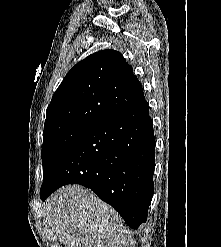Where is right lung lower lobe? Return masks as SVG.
Returning a JSON list of instances; mask_svg holds the SVG:
<instances>
[{
	"label": "right lung lower lobe",
	"instance_id": "1",
	"mask_svg": "<svg viewBox=\"0 0 221 247\" xmlns=\"http://www.w3.org/2000/svg\"><path fill=\"white\" fill-rule=\"evenodd\" d=\"M155 137L146 100L80 136L42 185L40 198L80 184L120 213L132 229L145 223L154 192Z\"/></svg>",
	"mask_w": 221,
	"mask_h": 247
}]
</instances>
